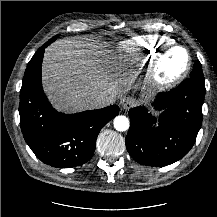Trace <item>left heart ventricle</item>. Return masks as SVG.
I'll return each instance as SVG.
<instances>
[{"label":"left heart ventricle","instance_id":"b2bd125f","mask_svg":"<svg viewBox=\"0 0 217 217\" xmlns=\"http://www.w3.org/2000/svg\"><path fill=\"white\" fill-rule=\"evenodd\" d=\"M186 64V55L181 50L173 51L163 64L162 77L168 78L179 72Z\"/></svg>","mask_w":217,"mask_h":217}]
</instances>
